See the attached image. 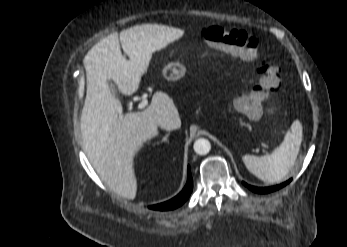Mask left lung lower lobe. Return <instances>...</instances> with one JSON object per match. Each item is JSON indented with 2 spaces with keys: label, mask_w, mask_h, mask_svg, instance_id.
Instances as JSON below:
<instances>
[{
  "label": "left lung lower lobe",
  "mask_w": 347,
  "mask_h": 247,
  "mask_svg": "<svg viewBox=\"0 0 347 247\" xmlns=\"http://www.w3.org/2000/svg\"><path fill=\"white\" fill-rule=\"evenodd\" d=\"M291 181L288 180L280 185H276V186H273V187H266V188H258V187H254V186H248L246 183H243L245 186H247L250 190L256 192V193H262V194H265V193H270V192H273V191H276V190H279L281 189L282 187H284L285 185H287L289 182Z\"/></svg>",
  "instance_id": "left-lung-lower-lobe-1"
}]
</instances>
